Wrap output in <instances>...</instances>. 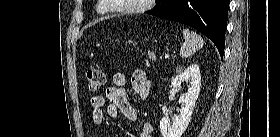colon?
Listing matches in <instances>:
<instances>
[{
    "mask_svg": "<svg viewBox=\"0 0 280 137\" xmlns=\"http://www.w3.org/2000/svg\"><path fill=\"white\" fill-rule=\"evenodd\" d=\"M86 87L88 90L98 91L105 84V74L99 68H93L87 71L85 78Z\"/></svg>",
    "mask_w": 280,
    "mask_h": 137,
    "instance_id": "obj_1",
    "label": "colon"
}]
</instances>
